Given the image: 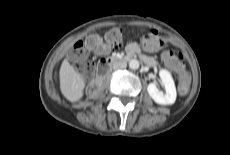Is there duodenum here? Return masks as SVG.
I'll return each mask as SVG.
<instances>
[{"label": "duodenum", "instance_id": "obj_1", "mask_svg": "<svg viewBox=\"0 0 230 155\" xmlns=\"http://www.w3.org/2000/svg\"><path fill=\"white\" fill-rule=\"evenodd\" d=\"M137 53L134 51H128L125 56H109L105 58L99 66V75H103L108 68L116 62L125 61L133 58ZM94 84L90 87L91 90H94Z\"/></svg>", "mask_w": 230, "mask_h": 155}]
</instances>
